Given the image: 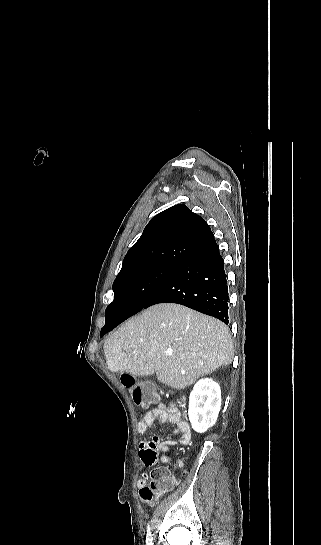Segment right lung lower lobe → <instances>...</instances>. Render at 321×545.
<instances>
[{
  "instance_id": "98d812e1",
  "label": "right lung lower lobe",
  "mask_w": 321,
  "mask_h": 545,
  "mask_svg": "<svg viewBox=\"0 0 321 545\" xmlns=\"http://www.w3.org/2000/svg\"><path fill=\"white\" fill-rule=\"evenodd\" d=\"M226 277L224 261L213 239L179 266L143 308L158 303H178L228 324ZM106 313L110 321L101 329V337L124 321L115 318V309L107 307Z\"/></svg>"
}]
</instances>
